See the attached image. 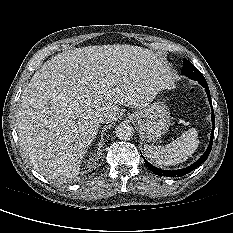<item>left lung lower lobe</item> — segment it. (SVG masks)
<instances>
[{
    "label": "left lung lower lobe",
    "instance_id": "1",
    "mask_svg": "<svg viewBox=\"0 0 233 233\" xmlns=\"http://www.w3.org/2000/svg\"><path fill=\"white\" fill-rule=\"evenodd\" d=\"M198 82L205 88L206 94L208 95L209 103H210L211 108H212V116L211 117H212L213 127H212L211 138H210V143L208 145V148H207L206 152L195 163H193L189 167H186L184 169L175 170V171H166V170L159 169V168L151 165L150 163H148L145 160V158L143 157L147 167L156 175H161V176H166V177H180V176L186 175L187 173L191 172L192 170H194L198 166H200L207 159V157L210 154V151L212 149L213 136H214L215 117H214L211 96H210V91H209V87L207 85V82H206V80H201Z\"/></svg>",
    "mask_w": 233,
    "mask_h": 233
}]
</instances>
